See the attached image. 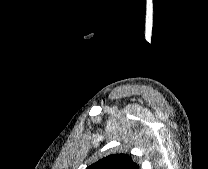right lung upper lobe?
<instances>
[{"label": "right lung upper lobe", "mask_w": 208, "mask_h": 169, "mask_svg": "<svg viewBox=\"0 0 208 169\" xmlns=\"http://www.w3.org/2000/svg\"><path fill=\"white\" fill-rule=\"evenodd\" d=\"M86 169H139L129 155L112 154L100 159Z\"/></svg>", "instance_id": "1"}]
</instances>
